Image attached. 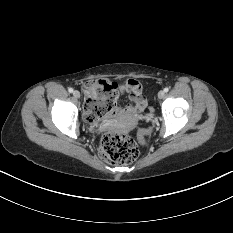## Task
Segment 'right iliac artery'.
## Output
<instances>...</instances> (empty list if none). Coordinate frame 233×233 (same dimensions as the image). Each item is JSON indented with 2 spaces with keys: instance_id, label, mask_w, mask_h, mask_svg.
<instances>
[{
  "instance_id": "1",
  "label": "right iliac artery",
  "mask_w": 233,
  "mask_h": 233,
  "mask_svg": "<svg viewBox=\"0 0 233 233\" xmlns=\"http://www.w3.org/2000/svg\"><path fill=\"white\" fill-rule=\"evenodd\" d=\"M68 91H69L70 93H72V92H73V88H69Z\"/></svg>"
}]
</instances>
